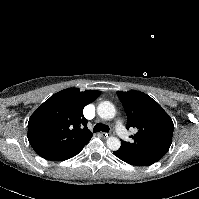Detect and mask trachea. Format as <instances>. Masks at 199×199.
<instances>
[{
    "label": "trachea",
    "mask_w": 199,
    "mask_h": 199,
    "mask_svg": "<svg viewBox=\"0 0 199 199\" xmlns=\"http://www.w3.org/2000/svg\"><path fill=\"white\" fill-rule=\"evenodd\" d=\"M110 128L107 125H104L102 123H97L94 128H93V132H109Z\"/></svg>",
    "instance_id": "1"
}]
</instances>
